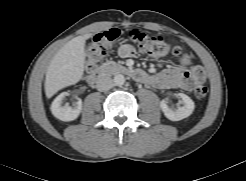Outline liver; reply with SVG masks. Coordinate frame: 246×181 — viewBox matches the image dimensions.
Wrapping results in <instances>:
<instances>
[{"instance_id":"6515ba94","label":"liver","mask_w":246,"mask_h":181,"mask_svg":"<svg viewBox=\"0 0 246 181\" xmlns=\"http://www.w3.org/2000/svg\"><path fill=\"white\" fill-rule=\"evenodd\" d=\"M91 36H77L55 54L46 72L44 87L47 98L80 81L84 73L85 42Z\"/></svg>"}]
</instances>
